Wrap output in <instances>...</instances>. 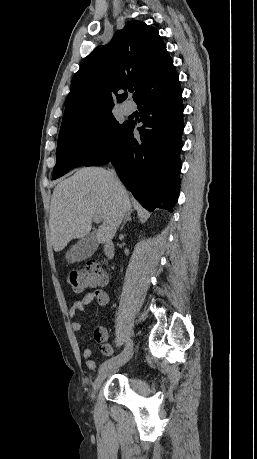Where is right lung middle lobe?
<instances>
[{
  "mask_svg": "<svg viewBox=\"0 0 257 459\" xmlns=\"http://www.w3.org/2000/svg\"><path fill=\"white\" fill-rule=\"evenodd\" d=\"M127 122L119 124L111 110L69 127L59 134L53 179L106 154Z\"/></svg>",
  "mask_w": 257,
  "mask_h": 459,
  "instance_id": "right-lung-middle-lobe-1",
  "label": "right lung middle lobe"
}]
</instances>
